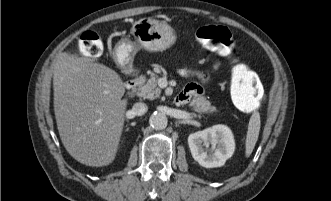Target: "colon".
I'll return each mask as SVG.
<instances>
[{
    "label": "colon",
    "mask_w": 331,
    "mask_h": 201,
    "mask_svg": "<svg viewBox=\"0 0 331 201\" xmlns=\"http://www.w3.org/2000/svg\"><path fill=\"white\" fill-rule=\"evenodd\" d=\"M197 40L210 50L228 56L234 48V39L225 26L205 25L195 31ZM80 51L88 58H98L103 44L93 31L84 32L79 41ZM231 96L235 105L244 112H254L261 105L263 86L259 77L246 65L235 63L232 70Z\"/></svg>",
    "instance_id": "1"
}]
</instances>
